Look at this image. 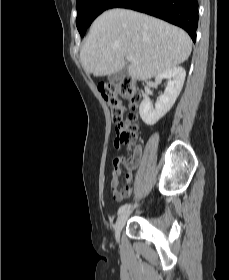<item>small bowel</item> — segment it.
<instances>
[{
    "label": "small bowel",
    "mask_w": 229,
    "mask_h": 280,
    "mask_svg": "<svg viewBox=\"0 0 229 280\" xmlns=\"http://www.w3.org/2000/svg\"><path fill=\"white\" fill-rule=\"evenodd\" d=\"M138 156H139V152L136 153L134 161L127 166V169H128V173L126 175L127 182L132 181V169L137 162ZM120 174H121V169L119 167L118 161L115 160L114 167L112 169V177H111V187L112 188L115 187L116 185H118ZM113 194H114V199L119 202L130 196L131 189L128 188L126 191H122V192L113 191Z\"/></svg>",
    "instance_id": "1"
}]
</instances>
